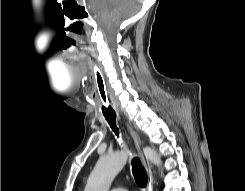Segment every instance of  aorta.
Listing matches in <instances>:
<instances>
[{"instance_id":"762f6f07","label":"aorta","mask_w":245,"mask_h":191,"mask_svg":"<svg viewBox=\"0 0 245 191\" xmlns=\"http://www.w3.org/2000/svg\"><path fill=\"white\" fill-rule=\"evenodd\" d=\"M144 154L150 162L159 168L161 167L160 156L154 149L146 147L144 148ZM127 158L128 155L125 151H117L101 156L88 178L84 191H109L113 179L122 170Z\"/></svg>"}]
</instances>
